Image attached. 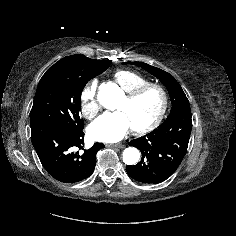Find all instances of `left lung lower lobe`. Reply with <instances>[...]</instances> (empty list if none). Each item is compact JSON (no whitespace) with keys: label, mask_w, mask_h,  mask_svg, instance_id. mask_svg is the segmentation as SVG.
I'll return each instance as SVG.
<instances>
[{"label":"left lung lower lobe","mask_w":236,"mask_h":236,"mask_svg":"<svg viewBox=\"0 0 236 236\" xmlns=\"http://www.w3.org/2000/svg\"><path fill=\"white\" fill-rule=\"evenodd\" d=\"M192 130L191 111L181 110L170 115L157 129L132 140L129 145L140 149L141 161L128 165L133 179L156 184L169 178L181 164Z\"/></svg>","instance_id":"1"}]
</instances>
